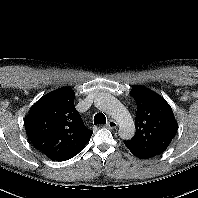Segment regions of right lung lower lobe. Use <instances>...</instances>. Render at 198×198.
I'll return each instance as SVG.
<instances>
[{
  "instance_id": "1",
  "label": "right lung lower lobe",
  "mask_w": 198,
  "mask_h": 198,
  "mask_svg": "<svg viewBox=\"0 0 198 198\" xmlns=\"http://www.w3.org/2000/svg\"><path fill=\"white\" fill-rule=\"evenodd\" d=\"M78 152H80V151H78ZM78 152L63 155V156H60V157H57V158H51V159L55 160V161H65V160H68V159L74 157L76 154H78Z\"/></svg>"
}]
</instances>
